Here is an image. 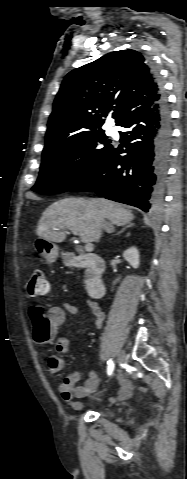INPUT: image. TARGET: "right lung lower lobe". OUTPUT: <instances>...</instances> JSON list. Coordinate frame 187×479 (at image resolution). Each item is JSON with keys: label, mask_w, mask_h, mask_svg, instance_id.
I'll return each mask as SVG.
<instances>
[{"label": "right lung lower lobe", "mask_w": 187, "mask_h": 479, "mask_svg": "<svg viewBox=\"0 0 187 479\" xmlns=\"http://www.w3.org/2000/svg\"><path fill=\"white\" fill-rule=\"evenodd\" d=\"M152 71H156L150 65ZM158 82L162 88L159 77ZM132 112L120 125L127 155L112 148L101 163L69 191H89L145 212L160 207L171 146V117L167 99ZM120 166V168H118Z\"/></svg>", "instance_id": "right-lung-lower-lobe-1"}]
</instances>
